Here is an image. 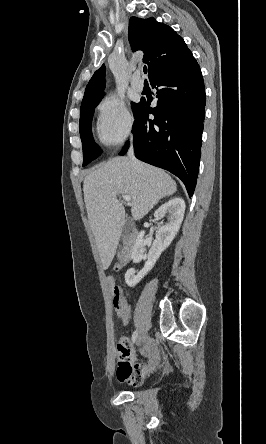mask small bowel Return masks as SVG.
<instances>
[{"label":"small bowel","instance_id":"1","mask_svg":"<svg viewBox=\"0 0 266 444\" xmlns=\"http://www.w3.org/2000/svg\"><path fill=\"white\" fill-rule=\"evenodd\" d=\"M109 283L113 284L114 280L110 279ZM117 315L123 325L128 324L130 319V308L125 300L123 305L115 309ZM157 345L148 341L146 343V352L153 358L149 363L136 362L133 348L129 339L125 336L121 337L117 345L118 368L117 378L120 382H127L131 385H139L143 378L151 371L156 364L154 359Z\"/></svg>","mask_w":266,"mask_h":444}]
</instances>
